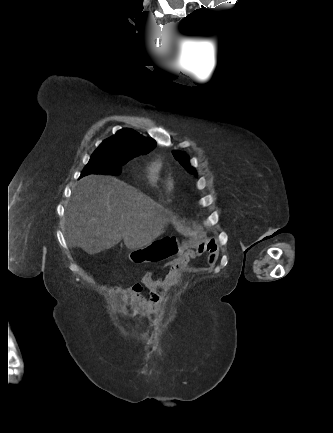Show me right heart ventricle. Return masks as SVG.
<instances>
[{
    "mask_svg": "<svg viewBox=\"0 0 333 433\" xmlns=\"http://www.w3.org/2000/svg\"><path fill=\"white\" fill-rule=\"evenodd\" d=\"M144 172L149 185L153 187L163 185L166 189L170 190V179L164 174L161 160L154 159L146 162Z\"/></svg>",
    "mask_w": 333,
    "mask_h": 433,
    "instance_id": "obj_1",
    "label": "right heart ventricle"
}]
</instances>
